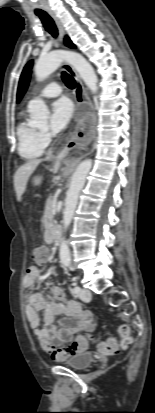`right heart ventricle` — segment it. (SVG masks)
Returning a JSON list of instances; mask_svg holds the SVG:
<instances>
[{
  "label": "right heart ventricle",
  "instance_id": "1",
  "mask_svg": "<svg viewBox=\"0 0 155 413\" xmlns=\"http://www.w3.org/2000/svg\"><path fill=\"white\" fill-rule=\"evenodd\" d=\"M18 153L25 160H34L44 153L40 132L22 119L17 126Z\"/></svg>",
  "mask_w": 155,
  "mask_h": 413
}]
</instances>
